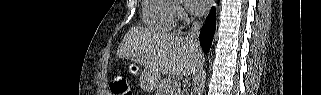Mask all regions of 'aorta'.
<instances>
[{
    "label": "aorta",
    "instance_id": "obj_1",
    "mask_svg": "<svg viewBox=\"0 0 321 95\" xmlns=\"http://www.w3.org/2000/svg\"><path fill=\"white\" fill-rule=\"evenodd\" d=\"M206 83V73L203 71L200 73L198 82L194 87V95H202Z\"/></svg>",
    "mask_w": 321,
    "mask_h": 95
}]
</instances>
